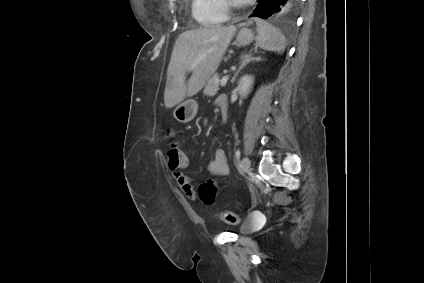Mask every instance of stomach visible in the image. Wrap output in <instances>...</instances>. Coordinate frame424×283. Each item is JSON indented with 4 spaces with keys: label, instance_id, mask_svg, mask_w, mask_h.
Segmentation results:
<instances>
[{
    "label": "stomach",
    "instance_id": "obj_1",
    "mask_svg": "<svg viewBox=\"0 0 424 283\" xmlns=\"http://www.w3.org/2000/svg\"><path fill=\"white\" fill-rule=\"evenodd\" d=\"M236 39L239 46H247L254 40V34L250 29L243 28L238 32ZM197 110V102L193 99H188L178 105L173 114L177 121L188 123L196 116Z\"/></svg>",
    "mask_w": 424,
    "mask_h": 283
}]
</instances>
